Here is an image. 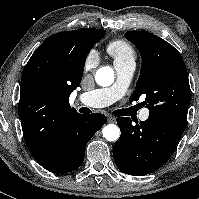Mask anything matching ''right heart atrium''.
I'll list each match as a JSON object with an SVG mask.
<instances>
[{
  "label": "right heart atrium",
  "mask_w": 199,
  "mask_h": 199,
  "mask_svg": "<svg viewBox=\"0 0 199 199\" xmlns=\"http://www.w3.org/2000/svg\"><path fill=\"white\" fill-rule=\"evenodd\" d=\"M97 60H98V55H97V53H96L94 50L90 51V52L88 53L86 59H85L84 68H85L86 70L92 69L93 66L96 64Z\"/></svg>",
  "instance_id": "1"
}]
</instances>
